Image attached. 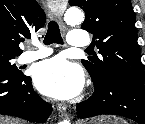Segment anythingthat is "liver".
I'll list each match as a JSON object with an SVG mask.
<instances>
[{
  "instance_id": "liver-1",
  "label": "liver",
  "mask_w": 145,
  "mask_h": 124,
  "mask_svg": "<svg viewBox=\"0 0 145 124\" xmlns=\"http://www.w3.org/2000/svg\"><path fill=\"white\" fill-rule=\"evenodd\" d=\"M0 124H21L17 119L0 118Z\"/></svg>"
}]
</instances>
